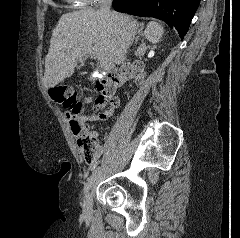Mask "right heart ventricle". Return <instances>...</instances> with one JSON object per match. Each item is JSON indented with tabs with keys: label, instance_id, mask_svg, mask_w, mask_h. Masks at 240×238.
<instances>
[{
	"label": "right heart ventricle",
	"instance_id": "e07e8e85",
	"mask_svg": "<svg viewBox=\"0 0 240 238\" xmlns=\"http://www.w3.org/2000/svg\"><path fill=\"white\" fill-rule=\"evenodd\" d=\"M68 1H71V2H73V1H75V0H68Z\"/></svg>",
	"mask_w": 240,
	"mask_h": 238
}]
</instances>
